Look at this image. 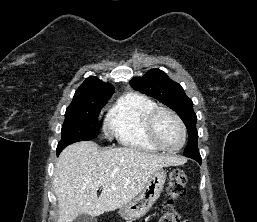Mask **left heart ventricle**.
I'll use <instances>...</instances> for the list:
<instances>
[{
    "instance_id": "b2bd125f",
    "label": "left heart ventricle",
    "mask_w": 257,
    "mask_h": 222,
    "mask_svg": "<svg viewBox=\"0 0 257 222\" xmlns=\"http://www.w3.org/2000/svg\"><path fill=\"white\" fill-rule=\"evenodd\" d=\"M158 139L168 148H176L181 144L182 133L176 120L167 113H161L155 123Z\"/></svg>"
}]
</instances>
